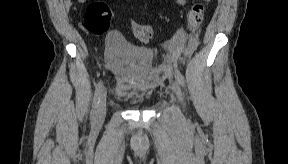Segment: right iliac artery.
<instances>
[{
  "label": "right iliac artery",
  "instance_id": "1",
  "mask_svg": "<svg viewBox=\"0 0 288 164\" xmlns=\"http://www.w3.org/2000/svg\"><path fill=\"white\" fill-rule=\"evenodd\" d=\"M101 93H102V85H101V83H98L97 86H96L95 93H94V98H93V105H92V111H91L92 120L96 119L97 108H98L99 100H100V97H101Z\"/></svg>",
  "mask_w": 288,
  "mask_h": 164
}]
</instances>
